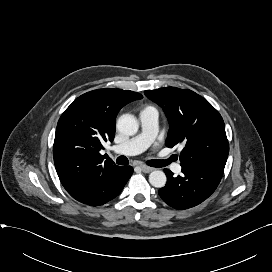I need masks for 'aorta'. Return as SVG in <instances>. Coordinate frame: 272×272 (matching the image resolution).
<instances>
[{
  "instance_id": "1",
  "label": "aorta",
  "mask_w": 272,
  "mask_h": 272,
  "mask_svg": "<svg viewBox=\"0 0 272 272\" xmlns=\"http://www.w3.org/2000/svg\"><path fill=\"white\" fill-rule=\"evenodd\" d=\"M139 124L137 119L130 114L122 115L117 121L118 131L126 136H132L137 133ZM167 177L161 170H155L149 175V182L156 188H162L165 186Z\"/></svg>"
}]
</instances>
